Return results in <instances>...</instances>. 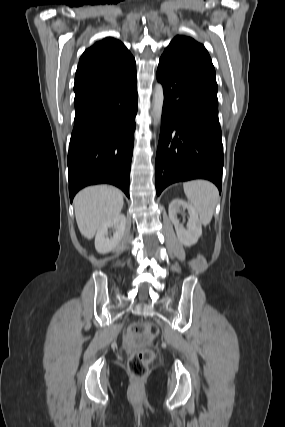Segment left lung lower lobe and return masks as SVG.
I'll use <instances>...</instances> for the list:
<instances>
[{"label":"left lung lower lobe","instance_id":"0a47b994","mask_svg":"<svg viewBox=\"0 0 285 427\" xmlns=\"http://www.w3.org/2000/svg\"><path fill=\"white\" fill-rule=\"evenodd\" d=\"M164 89L161 133L156 155V193L168 185L203 178L221 192L224 163L217 89L159 61Z\"/></svg>","mask_w":285,"mask_h":427}]
</instances>
